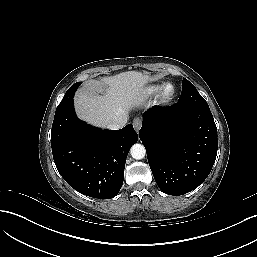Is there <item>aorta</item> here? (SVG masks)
Returning a JSON list of instances; mask_svg holds the SVG:
<instances>
[{
  "label": "aorta",
  "instance_id": "obj_1",
  "mask_svg": "<svg viewBox=\"0 0 257 257\" xmlns=\"http://www.w3.org/2000/svg\"><path fill=\"white\" fill-rule=\"evenodd\" d=\"M131 156L136 160H141L146 155L145 147L142 144H134L130 149Z\"/></svg>",
  "mask_w": 257,
  "mask_h": 257
}]
</instances>
